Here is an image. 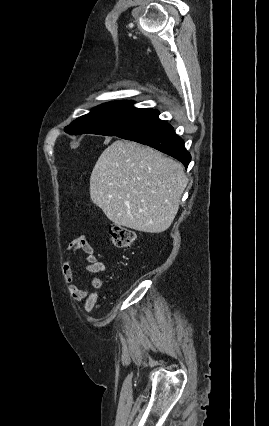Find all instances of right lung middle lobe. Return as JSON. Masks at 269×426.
Returning <instances> with one entry per match:
<instances>
[{
  "instance_id": "1",
  "label": "right lung middle lobe",
  "mask_w": 269,
  "mask_h": 426,
  "mask_svg": "<svg viewBox=\"0 0 269 426\" xmlns=\"http://www.w3.org/2000/svg\"><path fill=\"white\" fill-rule=\"evenodd\" d=\"M132 104V101L102 104L66 128L73 134L120 136L141 124L153 111L136 108Z\"/></svg>"
}]
</instances>
